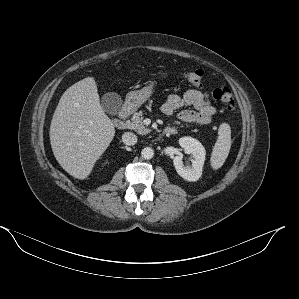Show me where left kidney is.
I'll list each match as a JSON object with an SVG mask.
<instances>
[{"label": "left kidney", "instance_id": "left-kidney-1", "mask_svg": "<svg viewBox=\"0 0 299 299\" xmlns=\"http://www.w3.org/2000/svg\"><path fill=\"white\" fill-rule=\"evenodd\" d=\"M179 144L186 154H190L194 160L192 166H185L182 156H175L173 163L177 173L187 181H197L202 175V169L205 161L206 151L203 145L192 137H182Z\"/></svg>", "mask_w": 299, "mask_h": 299}]
</instances>
